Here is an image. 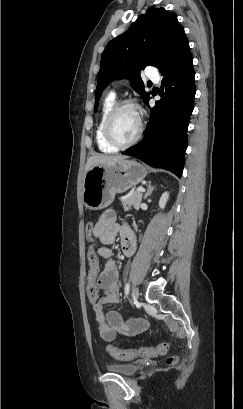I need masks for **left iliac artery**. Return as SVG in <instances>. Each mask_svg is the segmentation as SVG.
I'll list each match as a JSON object with an SVG mask.
<instances>
[{
    "mask_svg": "<svg viewBox=\"0 0 243 409\" xmlns=\"http://www.w3.org/2000/svg\"><path fill=\"white\" fill-rule=\"evenodd\" d=\"M129 290H130V285H129V283H127L126 286H125V294L126 295L129 294Z\"/></svg>",
    "mask_w": 243,
    "mask_h": 409,
    "instance_id": "left-iliac-artery-1",
    "label": "left iliac artery"
}]
</instances>
